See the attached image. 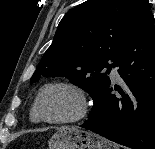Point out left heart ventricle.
<instances>
[{"label": "left heart ventricle", "instance_id": "obj_1", "mask_svg": "<svg viewBox=\"0 0 155 149\" xmlns=\"http://www.w3.org/2000/svg\"><path fill=\"white\" fill-rule=\"evenodd\" d=\"M78 109V98L65 88H51L40 101V111L48 119L73 116Z\"/></svg>", "mask_w": 155, "mask_h": 149}]
</instances>
